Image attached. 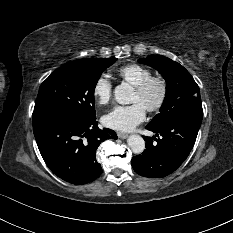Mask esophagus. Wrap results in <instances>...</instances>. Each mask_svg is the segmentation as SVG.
<instances>
[{"label":"esophagus","mask_w":233,"mask_h":233,"mask_svg":"<svg viewBox=\"0 0 233 233\" xmlns=\"http://www.w3.org/2000/svg\"><path fill=\"white\" fill-rule=\"evenodd\" d=\"M117 135H118V137H119L120 139H126V138L128 137L127 134H124V133H121V132H118Z\"/></svg>","instance_id":"esophagus-1"}]
</instances>
